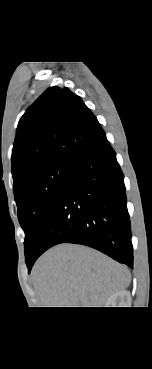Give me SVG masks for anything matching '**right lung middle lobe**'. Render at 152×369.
Here are the masks:
<instances>
[{
    "label": "right lung middle lobe",
    "instance_id": "right-lung-middle-lobe-1",
    "mask_svg": "<svg viewBox=\"0 0 152 369\" xmlns=\"http://www.w3.org/2000/svg\"><path fill=\"white\" fill-rule=\"evenodd\" d=\"M72 162H56L26 175L14 188L18 218L25 232L26 261L31 257L64 185Z\"/></svg>",
    "mask_w": 152,
    "mask_h": 369
}]
</instances>
